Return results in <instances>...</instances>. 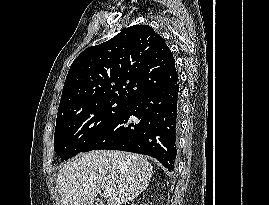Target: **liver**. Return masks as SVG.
<instances>
[{
    "instance_id": "liver-1",
    "label": "liver",
    "mask_w": 269,
    "mask_h": 205,
    "mask_svg": "<svg viewBox=\"0 0 269 205\" xmlns=\"http://www.w3.org/2000/svg\"><path fill=\"white\" fill-rule=\"evenodd\" d=\"M152 174L153 167L143 156L96 150L62 166L57 181L63 205H93L104 189L112 190L108 205H123L146 190Z\"/></svg>"
}]
</instances>
